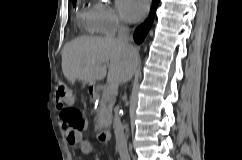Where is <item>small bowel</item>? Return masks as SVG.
<instances>
[{
  "label": "small bowel",
  "mask_w": 242,
  "mask_h": 160,
  "mask_svg": "<svg viewBox=\"0 0 242 160\" xmlns=\"http://www.w3.org/2000/svg\"><path fill=\"white\" fill-rule=\"evenodd\" d=\"M61 120H62V129L65 133L67 143L71 146L78 145L80 146L83 152H89L90 144L86 140H84L81 130L79 131L73 130L66 121H64L62 118Z\"/></svg>",
  "instance_id": "1"
}]
</instances>
